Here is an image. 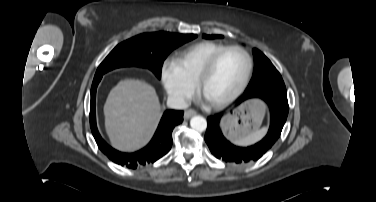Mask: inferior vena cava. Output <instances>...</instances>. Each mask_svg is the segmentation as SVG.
<instances>
[{"mask_svg":"<svg viewBox=\"0 0 376 202\" xmlns=\"http://www.w3.org/2000/svg\"><path fill=\"white\" fill-rule=\"evenodd\" d=\"M167 106L172 109L184 110L188 107V103L181 96L171 95L167 98Z\"/></svg>","mask_w":376,"mask_h":202,"instance_id":"inferior-vena-cava-1","label":"inferior vena cava"}]
</instances>
